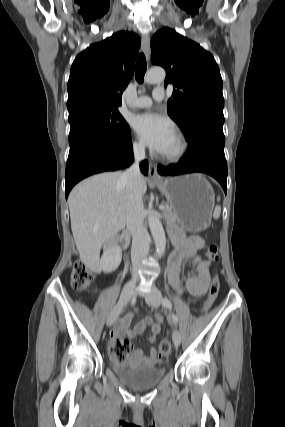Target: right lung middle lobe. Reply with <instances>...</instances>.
Masks as SVG:
<instances>
[{"mask_svg":"<svg viewBox=\"0 0 285 427\" xmlns=\"http://www.w3.org/2000/svg\"><path fill=\"white\" fill-rule=\"evenodd\" d=\"M69 144L79 136L98 132L114 139L125 137L129 125L125 122L117 107H88L69 115Z\"/></svg>","mask_w":285,"mask_h":427,"instance_id":"dd1d6c3e","label":"right lung middle lobe"}]
</instances>
